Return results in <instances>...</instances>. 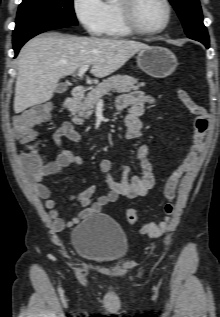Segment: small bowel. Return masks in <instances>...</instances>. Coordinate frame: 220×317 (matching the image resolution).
I'll list each match as a JSON object with an SVG mask.
<instances>
[{
	"label": "small bowel",
	"mask_w": 220,
	"mask_h": 317,
	"mask_svg": "<svg viewBox=\"0 0 220 317\" xmlns=\"http://www.w3.org/2000/svg\"><path fill=\"white\" fill-rule=\"evenodd\" d=\"M155 102L156 100L153 96L142 91H132L118 98L117 107L128 111L125 118V135L127 139H137L141 136L142 123L140 116L143 114L144 106ZM64 138L74 143L81 142V135L75 130L73 125L70 122L63 123L54 134V140L59 148L56 159L52 162L43 163L38 170L27 165L25 154L20 155L21 165L28 174V182L34 193L44 200V205L49 211V218L54 230H62L78 223L89 215L97 214L105 205L116 201L122 196L127 198L144 196L154 186L155 166L150 161L149 148L146 145H139L135 151V156L139 161V175L129 176V168L124 166L121 179L116 180L111 173L114 161L109 158L102 159L99 162V168L106 175L109 192L94 199L96 188L90 186L78 194H71L70 197L72 199L78 200L86 208L77 217L65 220L61 212L56 208L55 200L51 198L50 189L42 182L46 176L58 174L66 167L79 166L82 163V158L79 155L64 147Z\"/></svg>",
	"instance_id": "1"
}]
</instances>
